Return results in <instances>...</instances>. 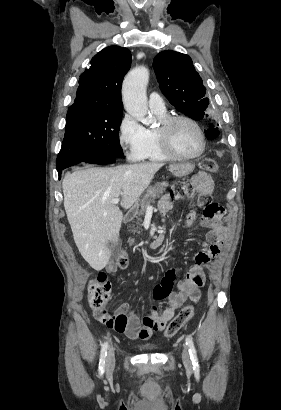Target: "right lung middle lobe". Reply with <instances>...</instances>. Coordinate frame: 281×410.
I'll return each mask as SVG.
<instances>
[{"label":"right lung middle lobe","instance_id":"dd1d6c3e","mask_svg":"<svg viewBox=\"0 0 281 410\" xmlns=\"http://www.w3.org/2000/svg\"><path fill=\"white\" fill-rule=\"evenodd\" d=\"M121 119L122 110L86 105L69 107L57 169L74 159L122 157L119 142Z\"/></svg>","mask_w":281,"mask_h":410}]
</instances>
